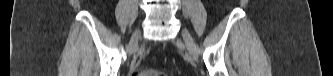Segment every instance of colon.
<instances>
[{
	"instance_id": "5ec220e1",
	"label": "colon",
	"mask_w": 333,
	"mask_h": 76,
	"mask_svg": "<svg viewBox=\"0 0 333 76\" xmlns=\"http://www.w3.org/2000/svg\"><path fill=\"white\" fill-rule=\"evenodd\" d=\"M132 76H164V73L157 72L154 70H147L145 72H133Z\"/></svg>"
}]
</instances>
